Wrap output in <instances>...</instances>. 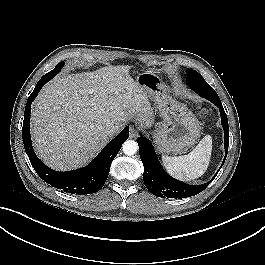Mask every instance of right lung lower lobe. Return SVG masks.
I'll return each mask as SVG.
<instances>
[{"label": "right lung lower lobe", "instance_id": "98d812e1", "mask_svg": "<svg viewBox=\"0 0 265 265\" xmlns=\"http://www.w3.org/2000/svg\"><path fill=\"white\" fill-rule=\"evenodd\" d=\"M50 79L52 78L44 75L38 81L35 89L28 98L22 128L25 151L36 173L46 183L71 194L85 195L95 193L99 191L106 182L113 159L121 149L123 142L129 137V127H125L123 131L110 141L86 167L67 172L54 171L48 168L38 159L32 147L30 137V113L33 100Z\"/></svg>", "mask_w": 265, "mask_h": 265}]
</instances>
